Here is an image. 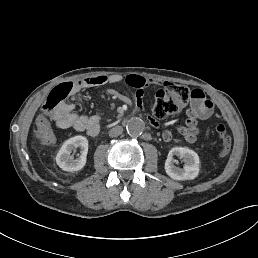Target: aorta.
I'll list each match as a JSON object with an SVG mask.
<instances>
[{"label": "aorta", "mask_w": 258, "mask_h": 258, "mask_svg": "<svg viewBox=\"0 0 258 258\" xmlns=\"http://www.w3.org/2000/svg\"><path fill=\"white\" fill-rule=\"evenodd\" d=\"M145 122L139 117H132L126 123V130L131 136H138L143 133Z\"/></svg>", "instance_id": "aorta-1"}]
</instances>
